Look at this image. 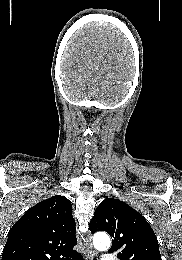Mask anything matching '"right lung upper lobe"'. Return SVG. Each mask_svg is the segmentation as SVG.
Listing matches in <instances>:
<instances>
[{"label": "right lung upper lobe", "instance_id": "right-lung-upper-lobe-1", "mask_svg": "<svg viewBox=\"0 0 182 260\" xmlns=\"http://www.w3.org/2000/svg\"><path fill=\"white\" fill-rule=\"evenodd\" d=\"M71 202L53 196L30 208L11 228L2 260H65L77 253Z\"/></svg>", "mask_w": 182, "mask_h": 260}]
</instances>
